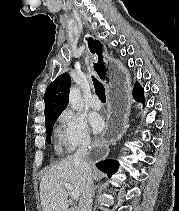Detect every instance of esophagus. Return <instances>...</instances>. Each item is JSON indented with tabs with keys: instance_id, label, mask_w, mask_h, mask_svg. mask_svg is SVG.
<instances>
[{
	"instance_id": "1",
	"label": "esophagus",
	"mask_w": 179,
	"mask_h": 211,
	"mask_svg": "<svg viewBox=\"0 0 179 211\" xmlns=\"http://www.w3.org/2000/svg\"><path fill=\"white\" fill-rule=\"evenodd\" d=\"M88 45L92 51V56L97 64H94V69L98 79L106 82V91L108 94L107 113L109 119L106 120V128L104 129L101 144H93L91 151H88L89 163H101V159H105L108 145H116L119 141L120 133H124L127 129V121L129 117V98L130 91L129 82L127 77H124L126 67L121 64V59L114 56H106V52H102L103 45H96L92 38L88 39Z\"/></svg>"
}]
</instances>
